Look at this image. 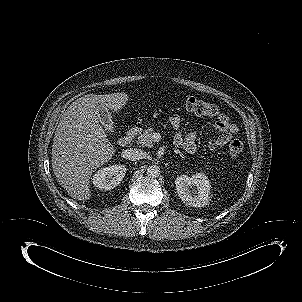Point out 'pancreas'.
Segmentation results:
<instances>
[{
    "instance_id": "cf45deb5",
    "label": "pancreas",
    "mask_w": 302,
    "mask_h": 302,
    "mask_svg": "<svg viewBox=\"0 0 302 302\" xmlns=\"http://www.w3.org/2000/svg\"><path fill=\"white\" fill-rule=\"evenodd\" d=\"M153 133L154 131L152 128L139 132L137 137V142L145 146H151L152 145L151 136L153 135Z\"/></svg>"
}]
</instances>
